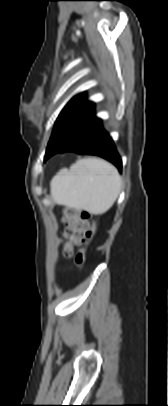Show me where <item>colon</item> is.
<instances>
[{
    "label": "colon",
    "mask_w": 168,
    "mask_h": 406,
    "mask_svg": "<svg viewBox=\"0 0 168 406\" xmlns=\"http://www.w3.org/2000/svg\"><path fill=\"white\" fill-rule=\"evenodd\" d=\"M63 221L66 225L64 232L65 253L69 252L71 246L80 247L75 260L76 264L82 267L85 260V248L95 235V222L88 212L76 208H68L64 213Z\"/></svg>",
    "instance_id": "1"
}]
</instances>
